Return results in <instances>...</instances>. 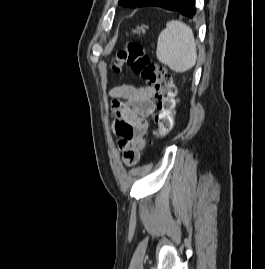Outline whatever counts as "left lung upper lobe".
Listing matches in <instances>:
<instances>
[{"mask_svg":"<svg viewBox=\"0 0 265 269\" xmlns=\"http://www.w3.org/2000/svg\"><path fill=\"white\" fill-rule=\"evenodd\" d=\"M144 0H119L118 4L124 7L136 8L138 7Z\"/></svg>","mask_w":265,"mask_h":269,"instance_id":"obj_1","label":"left lung upper lobe"}]
</instances>
